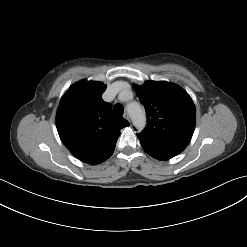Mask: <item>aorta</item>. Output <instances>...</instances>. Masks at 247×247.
<instances>
[{"mask_svg": "<svg viewBox=\"0 0 247 247\" xmlns=\"http://www.w3.org/2000/svg\"><path fill=\"white\" fill-rule=\"evenodd\" d=\"M128 112L135 127L143 129L146 124V116L141 105L136 102L129 104Z\"/></svg>", "mask_w": 247, "mask_h": 247, "instance_id": "obj_1", "label": "aorta"}]
</instances>
